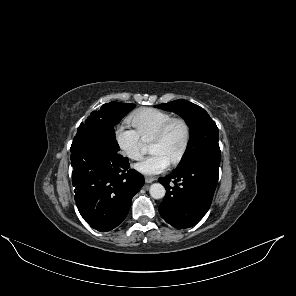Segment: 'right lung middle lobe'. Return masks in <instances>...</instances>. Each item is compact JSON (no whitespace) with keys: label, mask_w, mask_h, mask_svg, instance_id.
Masks as SVG:
<instances>
[{"label":"right lung middle lobe","mask_w":296,"mask_h":296,"mask_svg":"<svg viewBox=\"0 0 296 296\" xmlns=\"http://www.w3.org/2000/svg\"><path fill=\"white\" fill-rule=\"evenodd\" d=\"M135 107L134 104L110 102L102 105L100 110L91 112V115L78 128V133L93 132L105 138L108 142L119 146L115 137L114 125L118 124L121 119L130 110Z\"/></svg>","instance_id":"dd1d6c3e"}]
</instances>
